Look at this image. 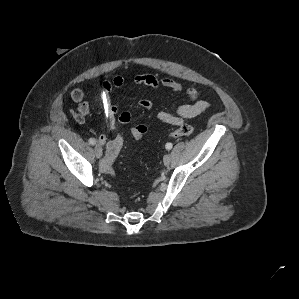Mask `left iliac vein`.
<instances>
[{
	"instance_id": "obj_1",
	"label": "left iliac vein",
	"mask_w": 299,
	"mask_h": 299,
	"mask_svg": "<svg viewBox=\"0 0 299 299\" xmlns=\"http://www.w3.org/2000/svg\"><path fill=\"white\" fill-rule=\"evenodd\" d=\"M163 162H164L165 166H169V164L171 162V157L168 154L164 155Z\"/></svg>"
}]
</instances>
